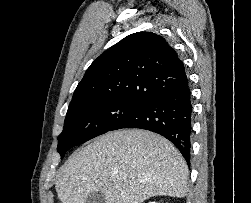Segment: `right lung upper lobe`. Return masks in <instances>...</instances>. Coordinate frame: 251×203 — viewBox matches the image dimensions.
Wrapping results in <instances>:
<instances>
[{"label":"right lung upper lobe","mask_w":251,"mask_h":203,"mask_svg":"<svg viewBox=\"0 0 251 203\" xmlns=\"http://www.w3.org/2000/svg\"><path fill=\"white\" fill-rule=\"evenodd\" d=\"M186 77L182 61L163 37L137 32L109 48L90 65L70 105L91 101L145 104Z\"/></svg>","instance_id":"cb5924a9"}]
</instances>
